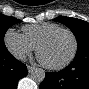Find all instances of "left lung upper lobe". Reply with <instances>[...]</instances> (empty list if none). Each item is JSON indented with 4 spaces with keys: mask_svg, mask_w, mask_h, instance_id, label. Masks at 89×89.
<instances>
[{
    "mask_svg": "<svg viewBox=\"0 0 89 89\" xmlns=\"http://www.w3.org/2000/svg\"><path fill=\"white\" fill-rule=\"evenodd\" d=\"M56 22L65 24L74 33L78 50L77 53L89 50V23L77 18L59 16L54 19Z\"/></svg>",
    "mask_w": 89,
    "mask_h": 89,
    "instance_id": "5c2ea615",
    "label": "left lung upper lobe"
}]
</instances>
